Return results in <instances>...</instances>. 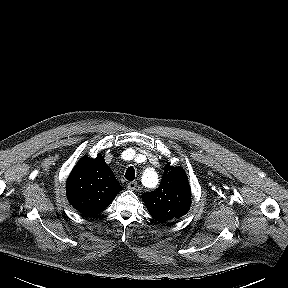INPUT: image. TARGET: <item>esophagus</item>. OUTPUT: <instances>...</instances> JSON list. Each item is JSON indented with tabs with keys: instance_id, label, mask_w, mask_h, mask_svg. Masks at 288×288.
<instances>
[{
	"instance_id": "34e87169",
	"label": "esophagus",
	"mask_w": 288,
	"mask_h": 288,
	"mask_svg": "<svg viewBox=\"0 0 288 288\" xmlns=\"http://www.w3.org/2000/svg\"><path fill=\"white\" fill-rule=\"evenodd\" d=\"M127 187H128V189H130V190H136L137 189V182H135V181H132V182H129L128 184H127Z\"/></svg>"
}]
</instances>
